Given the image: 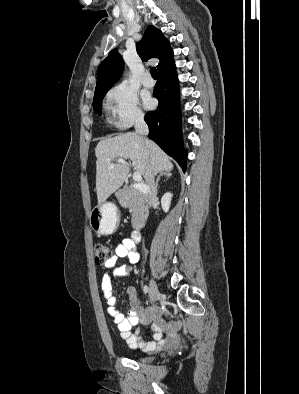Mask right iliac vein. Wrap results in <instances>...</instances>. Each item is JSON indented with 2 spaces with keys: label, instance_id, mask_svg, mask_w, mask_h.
Listing matches in <instances>:
<instances>
[{
  "label": "right iliac vein",
  "instance_id": "1",
  "mask_svg": "<svg viewBox=\"0 0 299 394\" xmlns=\"http://www.w3.org/2000/svg\"><path fill=\"white\" fill-rule=\"evenodd\" d=\"M149 296H150V301L153 304L159 298V290H158L156 282L153 279H151V281H150Z\"/></svg>",
  "mask_w": 299,
  "mask_h": 394
}]
</instances>
